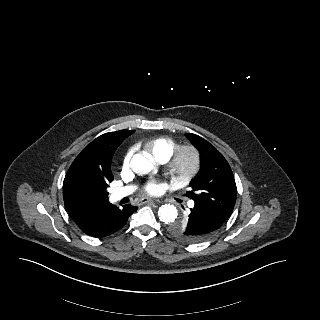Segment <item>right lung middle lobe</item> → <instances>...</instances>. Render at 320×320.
Returning a JSON list of instances; mask_svg holds the SVG:
<instances>
[{"instance_id": "obj_1", "label": "right lung middle lobe", "mask_w": 320, "mask_h": 320, "mask_svg": "<svg viewBox=\"0 0 320 320\" xmlns=\"http://www.w3.org/2000/svg\"><path fill=\"white\" fill-rule=\"evenodd\" d=\"M112 181L103 176L64 179L63 192L70 202L77 205H97L107 201V188Z\"/></svg>"}]
</instances>
